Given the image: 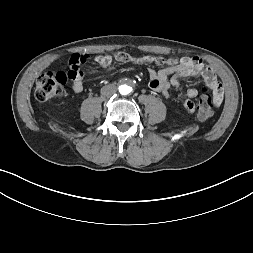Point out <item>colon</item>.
Wrapping results in <instances>:
<instances>
[{
  "label": "colon",
  "instance_id": "obj_1",
  "mask_svg": "<svg viewBox=\"0 0 253 253\" xmlns=\"http://www.w3.org/2000/svg\"><path fill=\"white\" fill-rule=\"evenodd\" d=\"M84 63L79 61L76 64L70 62V66L65 71H49L41 74L35 84L34 96L38 101H47L60 95L69 80L70 88L80 93L85 89V84L81 82ZM197 101V115L200 120H207L213 114V98L203 90Z\"/></svg>",
  "mask_w": 253,
  "mask_h": 253
}]
</instances>
